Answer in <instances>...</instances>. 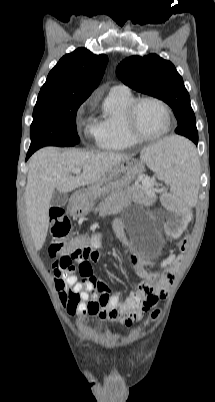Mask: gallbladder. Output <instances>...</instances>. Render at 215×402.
<instances>
[{"mask_svg":"<svg viewBox=\"0 0 215 402\" xmlns=\"http://www.w3.org/2000/svg\"><path fill=\"white\" fill-rule=\"evenodd\" d=\"M69 196L66 193L54 191L51 197V206L62 207L67 204Z\"/></svg>","mask_w":215,"mask_h":402,"instance_id":"bac80fb5","label":"gallbladder"}]
</instances>
